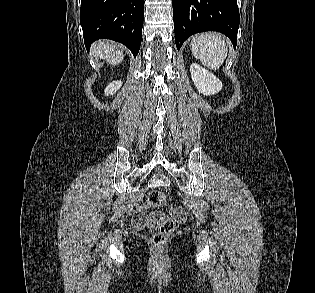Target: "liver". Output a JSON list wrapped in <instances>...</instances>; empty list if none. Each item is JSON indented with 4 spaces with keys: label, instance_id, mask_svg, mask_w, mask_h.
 Masks as SVG:
<instances>
[{
    "label": "liver",
    "instance_id": "liver-1",
    "mask_svg": "<svg viewBox=\"0 0 315 293\" xmlns=\"http://www.w3.org/2000/svg\"><path fill=\"white\" fill-rule=\"evenodd\" d=\"M92 52L96 57H107L111 65H117L123 59V53L118 51V45L107 40L96 42L92 46Z\"/></svg>",
    "mask_w": 315,
    "mask_h": 293
}]
</instances>
